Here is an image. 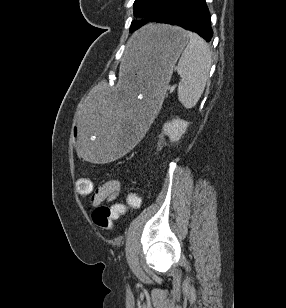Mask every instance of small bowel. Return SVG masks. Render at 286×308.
<instances>
[{
	"mask_svg": "<svg viewBox=\"0 0 286 308\" xmlns=\"http://www.w3.org/2000/svg\"><path fill=\"white\" fill-rule=\"evenodd\" d=\"M120 190V182L118 180H109L99 186L92 196V204L98 205L103 202H111L116 198Z\"/></svg>",
	"mask_w": 286,
	"mask_h": 308,
	"instance_id": "obj_1",
	"label": "small bowel"
}]
</instances>
